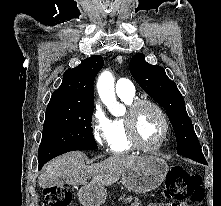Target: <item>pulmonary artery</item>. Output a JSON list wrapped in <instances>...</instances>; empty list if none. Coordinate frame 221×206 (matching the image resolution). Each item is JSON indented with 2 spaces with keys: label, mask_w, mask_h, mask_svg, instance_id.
<instances>
[{
  "label": "pulmonary artery",
  "mask_w": 221,
  "mask_h": 206,
  "mask_svg": "<svg viewBox=\"0 0 221 206\" xmlns=\"http://www.w3.org/2000/svg\"><path fill=\"white\" fill-rule=\"evenodd\" d=\"M116 92L118 95H134L135 88L128 79H119L116 84Z\"/></svg>",
  "instance_id": "e3ab8cb5"
}]
</instances>
